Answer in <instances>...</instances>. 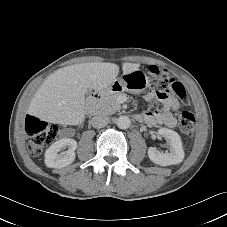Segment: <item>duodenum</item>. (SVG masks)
Returning <instances> with one entry per match:
<instances>
[{
  "label": "duodenum",
  "mask_w": 227,
  "mask_h": 227,
  "mask_svg": "<svg viewBox=\"0 0 227 227\" xmlns=\"http://www.w3.org/2000/svg\"><path fill=\"white\" fill-rule=\"evenodd\" d=\"M113 90H117V89L114 87ZM105 93L106 91H98L89 96L86 102V110L88 113L92 114L95 112L98 101L102 98V96ZM137 118L139 119L140 115H138Z\"/></svg>",
  "instance_id": "1"
}]
</instances>
